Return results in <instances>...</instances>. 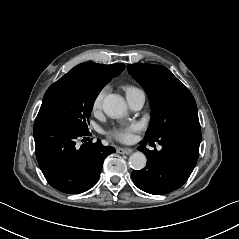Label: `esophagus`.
<instances>
[{"label":"esophagus","instance_id":"obj_1","mask_svg":"<svg viewBox=\"0 0 239 239\" xmlns=\"http://www.w3.org/2000/svg\"><path fill=\"white\" fill-rule=\"evenodd\" d=\"M133 152L132 148H118L117 153L119 154H131Z\"/></svg>","mask_w":239,"mask_h":239}]
</instances>
